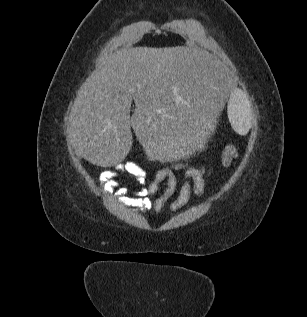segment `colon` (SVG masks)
<instances>
[{"label": "colon", "instance_id": "1", "mask_svg": "<svg viewBox=\"0 0 307 317\" xmlns=\"http://www.w3.org/2000/svg\"><path fill=\"white\" fill-rule=\"evenodd\" d=\"M133 155L146 162H151V163H158L156 161L148 160L144 152L142 151H136L133 153ZM238 157V150L234 146H228L224 149L222 153V158H221V164L224 168H227L230 166L231 162ZM165 168L168 169H180V168H185V169H195L201 173L205 172H211L213 171L212 167L203 163H200L196 160H191V159H178L174 160L171 162H166Z\"/></svg>", "mask_w": 307, "mask_h": 317}]
</instances>
